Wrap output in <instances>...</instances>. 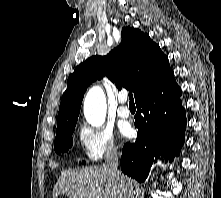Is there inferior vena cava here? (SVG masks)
Wrapping results in <instances>:
<instances>
[{
	"label": "inferior vena cava",
	"instance_id": "obj_1",
	"mask_svg": "<svg viewBox=\"0 0 221 198\" xmlns=\"http://www.w3.org/2000/svg\"><path fill=\"white\" fill-rule=\"evenodd\" d=\"M103 167L112 175L120 185L124 198H133V186L118 170V151L113 148L106 156Z\"/></svg>",
	"mask_w": 221,
	"mask_h": 198
}]
</instances>
